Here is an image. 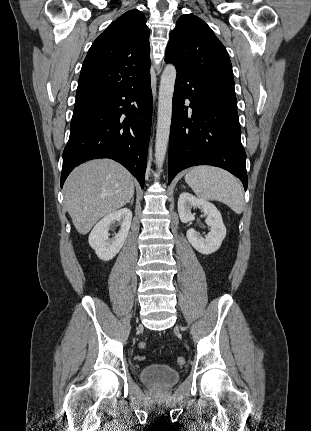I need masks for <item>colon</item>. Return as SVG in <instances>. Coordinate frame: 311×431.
Masks as SVG:
<instances>
[{
  "instance_id": "1",
  "label": "colon",
  "mask_w": 311,
  "mask_h": 431,
  "mask_svg": "<svg viewBox=\"0 0 311 431\" xmlns=\"http://www.w3.org/2000/svg\"><path fill=\"white\" fill-rule=\"evenodd\" d=\"M146 347H147V344H146L145 342H141V343L139 344V348H140V349H145ZM135 359H136V360H138V361H144V360H145V356H144V355H137V356L135 357ZM177 363H178V365H180V366L185 365V364H186V358H185V357H183V356L178 357V359H177Z\"/></svg>"
}]
</instances>
